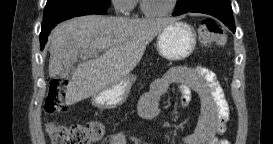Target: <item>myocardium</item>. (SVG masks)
Segmentation results:
<instances>
[{
    "instance_id": "obj_1",
    "label": "myocardium",
    "mask_w": 273,
    "mask_h": 144,
    "mask_svg": "<svg viewBox=\"0 0 273 144\" xmlns=\"http://www.w3.org/2000/svg\"><path fill=\"white\" fill-rule=\"evenodd\" d=\"M177 3H178V0H172L170 5L165 9L150 10L147 6L146 0H141L140 8H141V11L148 16H162V15L171 13L175 9Z\"/></svg>"
}]
</instances>
